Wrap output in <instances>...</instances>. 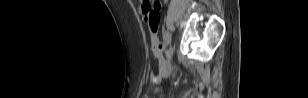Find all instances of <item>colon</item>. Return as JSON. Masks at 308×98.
Here are the masks:
<instances>
[{
  "label": "colon",
  "instance_id": "1",
  "mask_svg": "<svg viewBox=\"0 0 308 98\" xmlns=\"http://www.w3.org/2000/svg\"><path fill=\"white\" fill-rule=\"evenodd\" d=\"M146 4L143 6L142 20L148 23L147 29L150 31L151 36V46L154 55L161 60L163 54V45L160 43L157 37V31L160 29L159 20H160V1H148L145 0Z\"/></svg>",
  "mask_w": 308,
  "mask_h": 98
}]
</instances>
